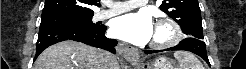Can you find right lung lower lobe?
I'll return each instance as SVG.
<instances>
[{
  "label": "right lung lower lobe",
  "mask_w": 246,
  "mask_h": 69,
  "mask_svg": "<svg viewBox=\"0 0 246 69\" xmlns=\"http://www.w3.org/2000/svg\"><path fill=\"white\" fill-rule=\"evenodd\" d=\"M105 31L103 25L91 28L58 24L40 26L35 59L48 46L64 40L79 41L115 53L117 41L107 38Z\"/></svg>",
  "instance_id": "right-lung-lower-lobe-1"
}]
</instances>
